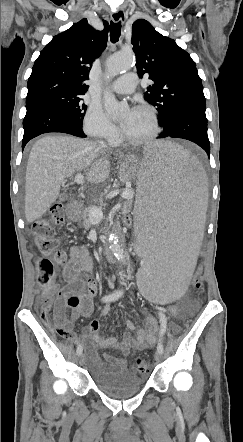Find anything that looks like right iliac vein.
<instances>
[{"mask_svg": "<svg viewBox=\"0 0 243 442\" xmlns=\"http://www.w3.org/2000/svg\"><path fill=\"white\" fill-rule=\"evenodd\" d=\"M85 360H86L85 355H84V354H81V355H80V363L83 364V363L85 362Z\"/></svg>", "mask_w": 243, "mask_h": 442, "instance_id": "obj_1", "label": "right iliac vein"}]
</instances>
